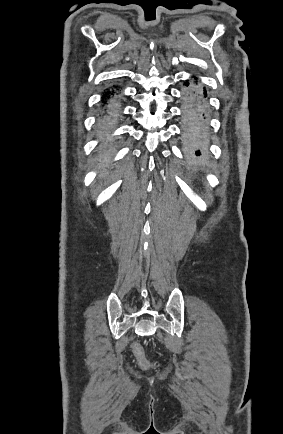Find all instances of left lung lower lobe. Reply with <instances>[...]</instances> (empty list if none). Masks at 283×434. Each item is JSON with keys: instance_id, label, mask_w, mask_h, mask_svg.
I'll return each instance as SVG.
<instances>
[{"instance_id": "obj_1", "label": "left lung lower lobe", "mask_w": 283, "mask_h": 434, "mask_svg": "<svg viewBox=\"0 0 283 434\" xmlns=\"http://www.w3.org/2000/svg\"><path fill=\"white\" fill-rule=\"evenodd\" d=\"M186 86L182 92V131L183 140L186 145L191 147L204 148L208 143L209 130V105L205 88L196 82H184ZM195 154L200 155L196 150Z\"/></svg>"}]
</instances>
